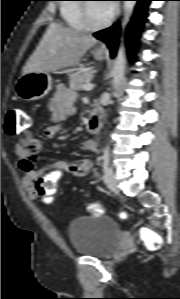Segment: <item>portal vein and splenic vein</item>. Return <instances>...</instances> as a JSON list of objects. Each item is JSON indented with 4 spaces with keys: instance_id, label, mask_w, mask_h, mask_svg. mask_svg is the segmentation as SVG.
<instances>
[{
    "instance_id": "obj_1",
    "label": "portal vein and splenic vein",
    "mask_w": 180,
    "mask_h": 299,
    "mask_svg": "<svg viewBox=\"0 0 180 299\" xmlns=\"http://www.w3.org/2000/svg\"><path fill=\"white\" fill-rule=\"evenodd\" d=\"M94 88V84H86L83 86V89L86 90V91H90Z\"/></svg>"
}]
</instances>
